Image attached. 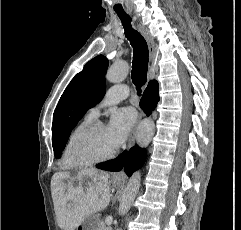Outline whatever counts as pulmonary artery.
I'll return each mask as SVG.
<instances>
[{"label":"pulmonary artery","instance_id":"e3ab8cb5","mask_svg":"<svg viewBox=\"0 0 241 230\" xmlns=\"http://www.w3.org/2000/svg\"><path fill=\"white\" fill-rule=\"evenodd\" d=\"M128 93H129V90L126 86L121 85V86L111 87L107 91L102 102L98 106L91 108L88 111V115L93 118L97 117L99 114L100 107L116 104L120 100L125 99L128 96Z\"/></svg>","mask_w":241,"mask_h":230}]
</instances>
